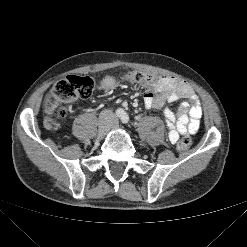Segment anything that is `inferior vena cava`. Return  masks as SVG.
Wrapping results in <instances>:
<instances>
[{"label": "inferior vena cava", "instance_id": "1", "mask_svg": "<svg viewBox=\"0 0 247 247\" xmlns=\"http://www.w3.org/2000/svg\"><path fill=\"white\" fill-rule=\"evenodd\" d=\"M100 119L104 122H114L116 120V116L111 110H103L100 113Z\"/></svg>", "mask_w": 247, "mask_h": 247}]
</instances>
